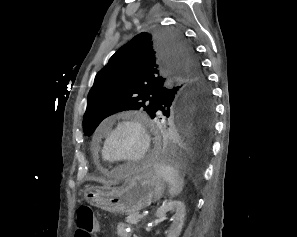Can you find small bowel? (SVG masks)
Wrapping results in <instances>:
<instances>
[{
    "label": "small bowel",
    "mask_w": 297,
    "mask_h": 237,
    "mask_svg": "<svg viewBox=\"0 0 297 237\" xmlns=\"http://www.w3.org/2000/svg\"><path fill=\"white\" fill-rule=\"evenodd\" d=\"M117 234L119 237H130V229L125 223H119L117 226Z\"/></svg>",
    "instance_id": "1"
}]
</instances>
